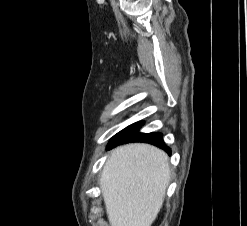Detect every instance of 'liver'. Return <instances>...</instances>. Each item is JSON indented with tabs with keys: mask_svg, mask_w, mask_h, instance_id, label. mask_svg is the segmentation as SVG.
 <instances>
[{
	"mask_svg": "<svg viewBox=\"0 0 247 226\" xmlns=\"http://www.w3.org/2000/svg\"><path fill=\"white\" fill-rule=\"evenodd\" d=\"M167 154L149 144L114 149L106 161L100 186L111 226H151L170 181Z\"/></svg>",
	"mask_w": 247,
	"mask_h": 226,
	"instance_id": "6515ba94",
	"label": "liver"
}]
</instances>
